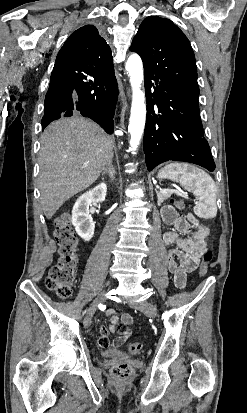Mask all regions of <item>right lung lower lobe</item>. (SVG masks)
Returning <instances> with one entry per match:
<instances>
[{
  "label": "right lung lower lobe",
  "mask_w": 247,
  "mask_h": 413,
  "mask_svg": "<svg viewBox=\"0 0 247 413\" xmlns=\"http://www.w3.org/2000/svg\"><path fill=\"white\" fill-rule=\"evenodd\" d=\"M117 97L118 88L114 69L100 74L52 71L45 97L42 129L61 117L80 113L112 134Z\"/></svg>",
  "instance_id": "1"
}]
</instances>
